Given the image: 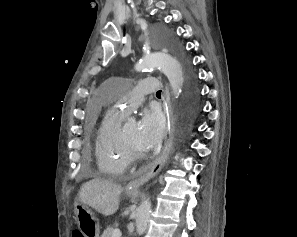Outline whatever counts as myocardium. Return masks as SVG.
Segmentation results:
<instances>
[{
	"instance_id": "obj_1",
	"label": "myocardium",
	"mask_w": 297,
	"mask_h": 237,
	"mask_svg": "<svg viewBox=\"0 0 297 237\" xmlns=\"http://www.w3.org/2000/svg\"><path fill=\"white\" fill-rule=\"evenodd\" d=\"M118 140L131 162L142 160L147 156V153L145 151L136 150L128 143V141L123 135L121 127L118 131Z\"/></svg>"
}]
</instances>
